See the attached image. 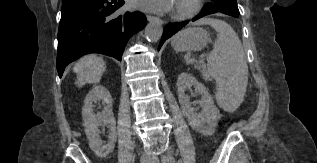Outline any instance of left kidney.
Listing matches in <instances>:
<instances>
[{"instance_id":"left-kidney-1","label":"left kidney","mask_w":317,"mask_h":163,"mask_svg":"<svg viewBox=\"0 0 317 163\" xmlns=\"http://www.w3.org/2000/svg\"><path fill=\"white\" fill-rule=\"evenodd\" d=\"M192 87L202 96L199 102L201 107L199 114L192 107L189 96L185 94L186 90H190ZM177 88L182 113L191 128L204 135H212L215 132L221 114L219 109L214 105V101L206 87L199 83L192 75L182 72L178 77Z\"/></svg>"}]
</instances>
